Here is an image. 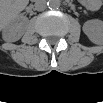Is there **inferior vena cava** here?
Wrapping results in <instances>:
<instances>
[{"label": "inferior vena cava", "mask_w": 103, "mask_h": 103, "mask_svg": "<svg viewBox=\"0 0 103 103\" xmlns=\"http://www.w3.org/2000/svg\"><path fill=\"white\" fill-rule=\"evenodd\" d=\"M46 8H47V5H46V1L45 0H37L35 2V9L37 11H44Z\"/></svg>", "instance_id": "inferior-vena-cava-1"}]
</instances>
